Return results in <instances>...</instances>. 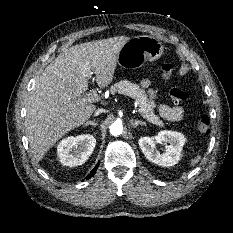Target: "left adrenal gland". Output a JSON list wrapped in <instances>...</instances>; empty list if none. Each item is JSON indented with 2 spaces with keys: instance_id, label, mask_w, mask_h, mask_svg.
Listing matches in <instances>:
<instances>
[{
  "instance_id": "left-adrenal-gland-1",
  "label": "left adrenal gland",
  "mask_w": 233,
  "mask_h": 233,
  "mask_svg": "<svg viewBox=\"0 0 233 233\" xmlns=\"http://www.w3.org/2000/svg\"><path fill=\"white\" fill-rule=\"evenodd\" d=\"M130 124L132 125L133 128H136L138 125H146L145 122L139 121V120H131Z\"/></svg>"
}]
</instances>
